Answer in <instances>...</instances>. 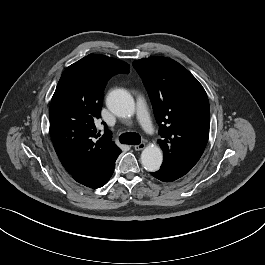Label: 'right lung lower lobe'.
Returning <instances> with one entry per match:
<instances>
[{"label": "right lung lower lobe", "mask_w": 265, "mask_h": 265, "mask_svg": "<svg viewBox=\"0 0 265 265\" xmlns=\"http://www.w3.org/2000/svg\"><path fill=\"white\" fill-rule=\"evenodd\" d=\"M121 151L100 160L90 171L74 175L73 178L80 184L90 188H99L105 185L113 174L115 161Z\"/></svg>", "instance_id": "98d812e1"}]
</instances>
